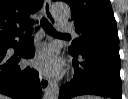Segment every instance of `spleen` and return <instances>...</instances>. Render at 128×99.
<instances>
[{"mask_svg": "<svg viewBox=\"0 0 128 99\" xmlns=\"http://www.w3.org/2000/svg\"><path fill=\"white\" fill-rule=\"evenodd\" d=\"M85 99H98L97 97H92V96H87V97H84Z\"/></svg>", "mask_w": 128, "mask_h": 99, "instance_id": "3e777b00", "label": "spleen"}]
</instances>
